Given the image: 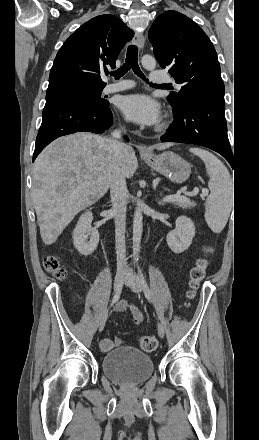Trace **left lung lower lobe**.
<instances>
[{"mask_svg":"<svg viewBox=\"0 0 259 440\" xmlns=\"http://www.w3.org/2000/svg\"><path fill=\"white\" fill-rule=\"evenodd\" d=\"M161 142L190 143L210 148L233 167L224 96L198 93L190 97L180 112H174L171 128L161 136Z\"/></svg>","mask_w":259,"mask_h":440,"instance_id":"left-lung-lower-lobe-1","label":"left lung lower lobe"}]
</instances>
